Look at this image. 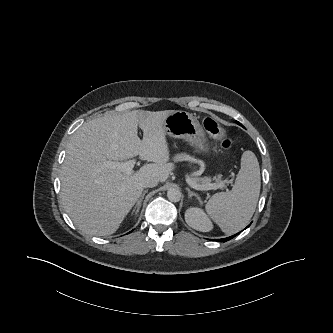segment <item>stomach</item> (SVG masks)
I'll return each instance as SVG.
<instances>
[{"label":"stomach","instance_id":"obj_1","mask_svg":"<svg viewBox=\"0 0 333 333\" xmlns=\"http://www.w3.org/2000/svg\"><path fill=\"white\" fill-rule=\"evenodd\" d=\"M164 127L169 136L189 142L198 152L204 154L209 152L205 131L193 114L174 111L166 117Z\"/></svg>","mask_w":333,"mask_h":333}]
</instances>
